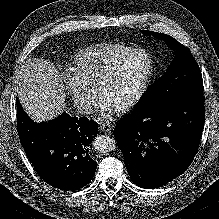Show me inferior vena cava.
Instances as JSON below:
<instances>
[{"mask_svg":"<svg viewBox=\"0 0 219 219\" xmlns=\"http://www.w3.org/2000/svg\"><path fill=\"white\" fill-rule=\"evenodd\" d=\"M76 111L78 114L88 115L92 112V106L89 102L80 101L76 103Z\"/></svg>","mask_w":219,"mask_h":219,"instance_id":"obj_1","label":"inferior vena cava"}]
</instances>
